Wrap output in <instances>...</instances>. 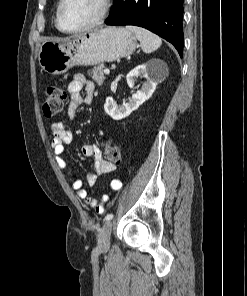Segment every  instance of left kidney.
<instances>
[{
	"mask_svg": "<svg viewBox=\"0 0 247 296\" xmlns=\"http://www.w3.org/2000/svg\"><path fill=\"white\" fill-rule=\"evenodd\" d=\"M156 65V61H151L142 65H138L127 76V83L130 88H134L135 82L138 76H142L146 79L141 90H138L132 95V98L122 105H117L112 97H107L104 110L106 114L112 117L114 120H121L129 116L133 111L137 110L146 100H148L154 93L157 86V75L153 73V67Z\"/></svg>",
	"mask_w": 247,
	"mask_h": 296,
	"instance_id": "5707ae66",
	"label": "left kidney"
}]
</instances>
